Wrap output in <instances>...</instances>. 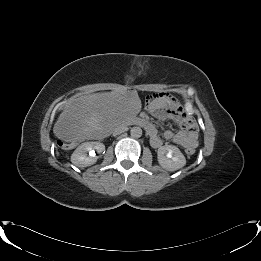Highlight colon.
I'll return each instance as SVG.
<instances>
[{"label":"colon","instance_id":"5ec220e1","mask_svg":"<svg viewBox=\"0 0 261 261\" xmlns=\"http://www.w3.org/2000/svg\"><path fill=\"white\" fill-rule=\"evenodd\" d=\"M71 146H72V144H64L63 143V147H71ZM185 152H186L187 155H193L195 153V149L193 147H187L185 149Z\"/></svg>","mask_w":261,"mask_h":261}]
</instances>
